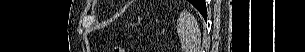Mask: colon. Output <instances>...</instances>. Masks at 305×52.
<instances>
[{
  "label": "colon",
  "instance_id": "5ec220e1",
  "mask_svg": "<svg viewBox=\"0 0 305 52\" xmlns=\"http://www.w3.org/2000/svg\"><path fill=\"white\" fill-rule=\"evenodd\" d=\"M114 52H124V49L121 47H115Z\"/></svg>",
  "mask_w": 305,
  "mask_h": 52
}]
</instances>
